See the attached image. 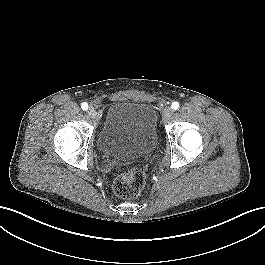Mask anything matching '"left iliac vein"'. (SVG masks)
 <instances>
[{"label": "left iliac vein", "mask_w": 265, "mask_h": 265, "mask_svg": "<svg viewBox=\"0 0 265 265\" xmlns=\"http://www.w3.org/2000/svg\"><path fill=\"white\" fill-rule=\"evenodd\" d=\"M172 114H173L172 109L171 108H166L164 113H163L164 122H167L171 118Z\"/></svg>", "instance_id": "left-iliac-vein-1"}]
</instances>
